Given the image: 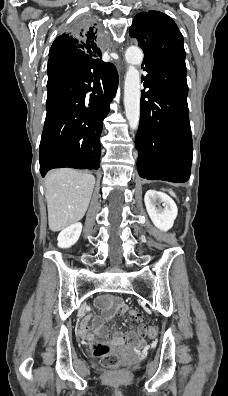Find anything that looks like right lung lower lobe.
Listing matches in <instances>:
<instances>
[{
	"label": "right lung lower lobe",
	"instance_id": "obj_1",
	"mask_svg": "<svg viewBox=\"0 0 228 396\" xmlns=\"http://www.w3.org/2000/svg\"><path fill=\"white\" fill-rule=\"evenodd\" d=\"M118 73L100 59H76L47 85L46 119L40 142L42 177L52 168L96 170L100 166V135ZM93 91L90 96L86 93Z\"/></svg>",
	"mask_w": 228,
	"mask_h": 396
}]
</instances>
